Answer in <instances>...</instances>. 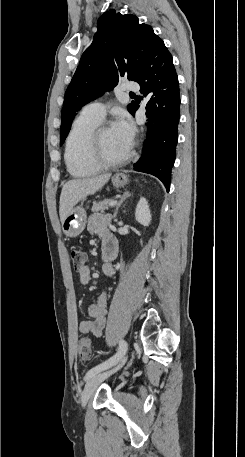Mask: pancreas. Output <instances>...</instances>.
<instances>
[{"label": "pancreas", "mask_w": 245, "mask_h": 457, "mask_svg": "<svg viewBox=\"0 0 245 457\" xmlns=\"http://www.w3.org/2000/svg\"><path fill=\"white\" fill-rule=\"evenodd\" d=\"M112 198H104V200H99V202H93L92 212H99V210H105L108 208L109 202H111Z\"/></svg>", "instance_id": "1"}]
</instances>
